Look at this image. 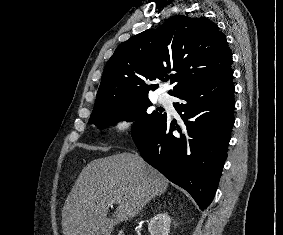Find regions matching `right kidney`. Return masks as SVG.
Instances as JSON below:
<instances>
[{"instance_id": "obj_1", "label": "right kidney", "mask_w": 283, "mask_h": 235, "mask_svg": "<svg viewBox=\"0 0 283 235\" xmlns=\"http://www.w3.org/2000/svg\"><path fill=\"white\" fill-rule=\"evenodd\" d=\"M171 218L168 213H160L151 218L148 224L150 235H169Z\"/></svg>"}]
</instances>
